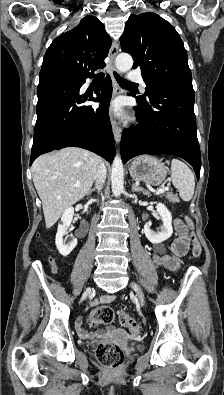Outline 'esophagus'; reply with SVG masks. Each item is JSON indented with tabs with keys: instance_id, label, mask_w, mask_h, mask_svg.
Wrapping results in <instances>:
<instances>
[{
	"instance_id": "1",
	"label": "esophagus",
	"mask_w": 224,
	"mask_h": 395,
	"mask_svg": "<svg viewBox=\"0 0 224 395\" xmlns=\"http://www.w3.org/2000/svg\"><path fill=\"white\" fill-rule=\"evenodd\" d=\"M118 50H119L118 43L116 41H113L112 46L109 51V71H110V75H111L112 82H113V97H115L120 92L119 86H118V84L115 80V77H114V72L116 71L115 58L118 54ZM110 121H111V126H112L115 140L117 143H119L121 140V128L119 126L118 121L113 116L112 108H110Z\"/></svg>"
}]
</instances>
